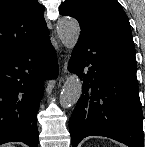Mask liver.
Returning a JSON list of instances; mask_svg holds the SVG:
<instances>
[{
    "label": "liver",
    "mask_w": 145,
    "mask_h": 147,
    "mask_svg": "<svg viewBox=\"0 0 145 147\" xmlns=\"http://www.w3.org/2000/svg\"><path fill=\"white\" fill-rule=\"evenodd\" d=\"M3 147H13L11 144L3 145Z\"/></svg>",
    "instance_id": "6515ba94"
}]
</instances>
